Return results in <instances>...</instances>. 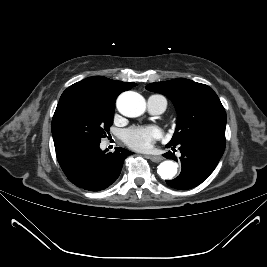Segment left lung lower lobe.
I'll use <instances>...</instances> for the list:
<instances>
[{"instance_id":"1","label":"left lung lower lobe","mask_w":267,"mask_h":267,"mask_svg":"<svg viewBox=\"0 0 267 267\" xmlns=\"http://www.w3.org/2000/svg\"><path fill=\"white\" fill-rule=\"evenodd\" d=\"M171 146H167L169 148ZM175 147H172V149ZM225 149V141L215 138H201L179 145L182 171L166 183L175 189H191L202 183L215 169ZM177 161L171 152L163 155Z\"/></svg>"}]
</instances>
